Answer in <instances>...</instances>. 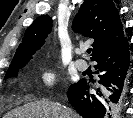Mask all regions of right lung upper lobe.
<instances>
[{"mask_svg": "<svg viewBox=\"0 0 133 118\" xmlns=\"http://www.w3.org/2000/svg\"><path fill=\"white\" fill-rule=\"evenodd\" d=\"M51 23L50 16L42 15L27 28L10 67L30 60L45 42ZM72 28L75 32L94 38L91 59L125 38L119 13L112 0H85L73 20Z\"/></svg>", "mask_w": 133, "mask_h": 118, "instance_id": "1", "label": "right lung upper lobe"}]
</instances>
